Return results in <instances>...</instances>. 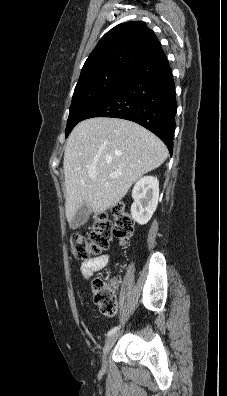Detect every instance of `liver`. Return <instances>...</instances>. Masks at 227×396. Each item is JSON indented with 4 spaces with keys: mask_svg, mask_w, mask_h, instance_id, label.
<instances>
[{
    "mask_svg": "<svg viewBox=\"0 0 227 396\" xmlns=\"http://www.w3.org/2000/svg\"><path fill=\"white\" fill-rule=\"evenodd\" d=\"M167 156L165 144L132 121L109 117L81 121L67 139L63 160L68 222L83 203L96 215L115 206L134 182ZM91 171L95 178L88 176Z\"/></svg>",
    "mask_w": 227,
    "mask_h": 396,
    "instance_id": "1",
    "label": "liver"
}]
</instances>
